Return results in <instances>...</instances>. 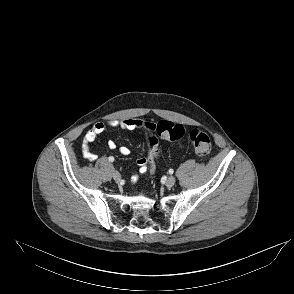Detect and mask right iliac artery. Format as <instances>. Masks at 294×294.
<instances>
[{"instance_id": "right-iliac-artery-1", "label": "right iliac artery", "mask_w": 294, "mask_h": 294, "mask_svg": "<svg viewBox=\"0 0 294 294\" xmlns=\"http://www.w3.org/2000/svg\"><path fill=\"white\" fill-rule=\"evenodd\" d=\"M109 161L110 162H113L114 161V158L113 157H109Z\"/></svg>"}]
</instances>
